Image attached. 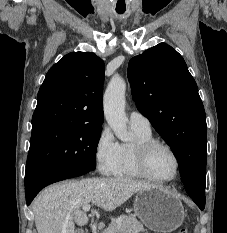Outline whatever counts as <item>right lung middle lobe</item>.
<instances>
[{
	"mask_svg": "<svg viewBox=\"0 0 227 233\" xmlns=\"http://www.w3.org/2000/svg\"><path fill=\"white\" fill-rule=\"evenodd\" d=\"M101 130V125H69L32 133L25 182L52 170H94Z\"/></svg>",
	"mask_w": 227,
	"mask_h": 233,
	"instance_id": "1",
	"label": "right lung middle lobe"
}]
</instances>
